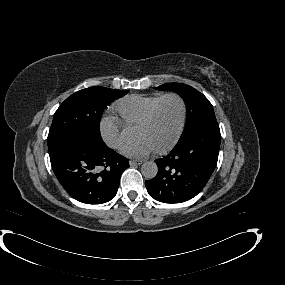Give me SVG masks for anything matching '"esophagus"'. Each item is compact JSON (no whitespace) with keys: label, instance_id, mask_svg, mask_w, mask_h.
Instances as JSON below:
<instances>
[{"label":"esophagus","instance_id":"34e87169","mask_svg":"<svg viewBox=\"0 0 285 285\" xmlns=\"http://www.w3.org/2000/svg\"><path fill=\"white\" fill-rule=\"evenodd\" d=\"M129 163L131 166H136V165H141L143 163V161H141V160H130Z\"/></svg>","mask_w":285,"mask_h":285}]
</instances>
